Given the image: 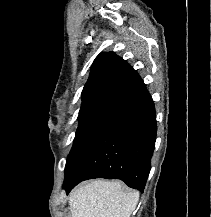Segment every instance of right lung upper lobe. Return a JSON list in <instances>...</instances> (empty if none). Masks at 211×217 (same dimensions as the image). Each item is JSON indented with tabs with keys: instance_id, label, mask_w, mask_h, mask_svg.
<instances>
[{
	"instance_id": "obj_1",
	"label": "right lung upper lobe",
	"mask_w": 211,
	"mask_h": 217,
	"mask_svg": "<svg viewBox=\"0 0 211 217\" xmlns=\"http://www.w3.org/2000/svg\"><path fill=\"white\" fill-rule=\"evenodd\" d=\"M149 93L137 72L114 52L94 60L82 91L79 119L93 116L118 117Z\"/></svg>"
}]
</instances>
